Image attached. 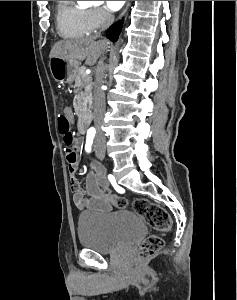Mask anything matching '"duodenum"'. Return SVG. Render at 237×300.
Here are the masks:
<instances>
[{"label":"duodenum","instance_id":"duodenum-1","mask_svg":"<svg viewBox=\"0 0 237 300\" xmlns=\"http://www.w3.org/2000/svg\"><path fill=\"white\" fill-rule=\"evenodd\" d=\"M88 124H89L88 118L85 116H82L79 119L78 126H77L79 133L84 134L88 129Z\"/></svg>","mask_w":237,"mask_h":300}]
</instances>
